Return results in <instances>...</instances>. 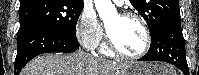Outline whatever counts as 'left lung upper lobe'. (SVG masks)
I'll return each mask as SVG.
<instances>
[{
    "instance_id": "left-lung-upper-lobe-1",
    "label": "left lung upper lobe",
    "mask_w": 199,
    "mask_h": 75,
    "mask_svg": "<svg viewBox=\"0 0 199 75\" xmlns=\"http://www.w3.org/2000/svg\"><path fill=\"white\" fill-rule=\"evenodd\" d=\"M156 37L169 21L180 19L179 0H130Z\"/></svg>"
}]
</instances>
